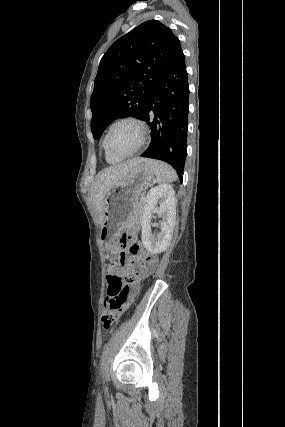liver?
<instances>
[{
    "mask_svg": "<svg viewBox=\"0 0 285 427\" xmlns=\"http://www.w3.org/2000/svg\"><path fill=\"white\" fill-rule=\"evenodd\" d=\"M142 158H135L124 163L117 164L103 170L91 187V198L98 214L99 223L104 220V202L106 193L119 184L135 166L143 163Z\"/></svg>",
    "mask_w": 285,
    "mask_h": 427,
    "instance_id": "obj_1",
    "label": "liver"
}]
</instances>
